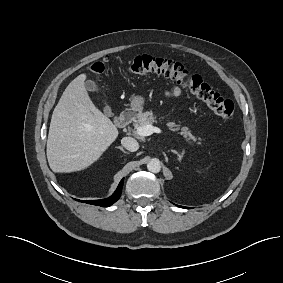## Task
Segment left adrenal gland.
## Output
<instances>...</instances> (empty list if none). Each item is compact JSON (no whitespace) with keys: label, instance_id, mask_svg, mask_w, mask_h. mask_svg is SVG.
<instances>
[{"label":"left adrenal gland","instance_id":"obj_1","mask_svg":"<svg viewBox=\"0 0 283 283\" xmlns=\"http://www.w3.org/2000/svg\"><path fill=\"white\" fill-rule=\"evenodd\" d=\"M171 152H173V153H175L177 156H178V161L179 162H181L182 161V158H183V153H179V152H177L176 150H173V149H171Z\"/></svg>","mask_w":283,"mask_h":283}]
</instances>
